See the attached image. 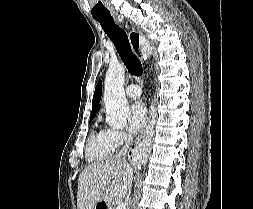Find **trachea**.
Returning a JSON list of instances; mask_svg holds the SVG:
<instances>
[{
    "label": "trachea",
    "mask_w": 253,
    "mask_h": 209,
    "mask_svg": "<svg viewBox=\"0 0 253 209\" xmlns=\"http://www.w3.org/2000/svg\"><path fill=\"white\" fill-rule=\"evenodd\" d=\"M94 19L100 23L105 33L114 43L128 71L132 75L142 76L143 67L141 61L133 53L126 32L114 23L111 15L94 17ZM134 49L137 51L138 46Z\"/></svg>",
    "instance_id": "1"
}]
</instances>
